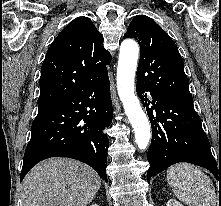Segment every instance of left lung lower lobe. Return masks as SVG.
Instances as JSON below:
<instances>
[{"label": "left lung lower lobe", "mask_w": 221, "mask_h": 206, "mask_svg": "<svg viewBox=\"0 0 221 206\" xmlns=\"http://www.w3.org/2000/svg\"><path fill=\"white\" fill-rule=\"evenodd\" d=\"M146 91L150 92L152 101L144 94ZM137 94L146 107L152 126L147 181L178 162H188L207 168L221 180V167L220 165L219 169L217 167L209 140L194 106L169 101L139 84ZM150 103L153 104L151 108L148 107Z\"/></svg>", "instance_id": "1"}]
</instances>
